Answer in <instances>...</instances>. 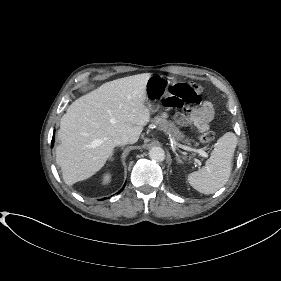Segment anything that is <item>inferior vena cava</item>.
Returning a JSON list of instances; mask_svg holds the SVG:
<instances>
[{
    "label": "inferior vena cava",
    "mask_w": 281,
    "mask_h": 281,
    "mask_svg": "<svg viewBox=\"0 0 281 281\" xmlns=\"http://www.w3.org/2000/svg\"><path fill=\"white\" fill-rule=\"evenodd\" d=\"M113 142L116 146H122L130 143V138L127 135H119L113 139Z\"/></svg>",
    "instance_id": "1"
}]
</instances>
